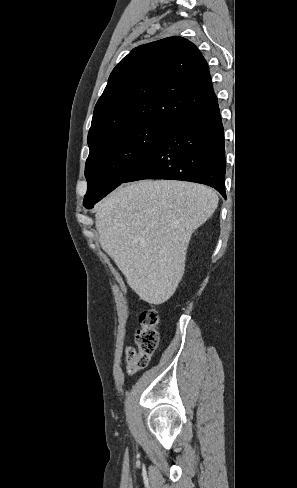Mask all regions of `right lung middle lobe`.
<instances>
[{
	"label": "right lung middle lobe",
	"mask_w": 297,
	"mask_h": 488,
	"mask_svg": "<svg viewBox=\"0 0 297 488\" xmlns=\"http://www.w3.org/2000/svg\"><path fill=\"white\" fill-rule=\"evenodd\" d=\"M170 125L145 123L120 129L93 146L85 165L87 209L115 189L130 175Z\"/></svg>",
	"instance_id": "obj_1"
}]
</instances>
